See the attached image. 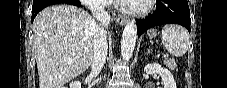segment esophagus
I'll return each mask as SVG.
<instances>
[{
    "label": "esophagus",
    "mask_w": 227,
    "mask_h": 88,
    "mask_svg": "<svg viewBox=\"0 0 227 88\" xmlns=\"http://www.w3.org/2000/svg\"><path fill=\"white\" fill-rule=\"evenodd\" d=\"M116 22L120 25H125V23L127 22V19L123 16H119L116 18Z\"/></svg>",
    "instance_id": "34e87169"
}]
</instances>
